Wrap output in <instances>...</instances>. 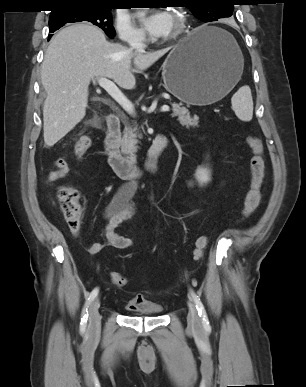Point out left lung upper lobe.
Listing matches in <instances>:
<instances>
[{"instance_id": "1", "label": "left lung upper lobe", "mask_w": 306, "mask_h": 387, "mask_svg": "<svg viewBox=\"0 0 306 387\" xmlns=\"http://www.w3.org/2000/svg\"><path fill=\"white\" fill-rule=\"evenodd\" d=\"M233 0H185L186 6L204 22L232 16Z\"/></svg>"}]
</instances>
